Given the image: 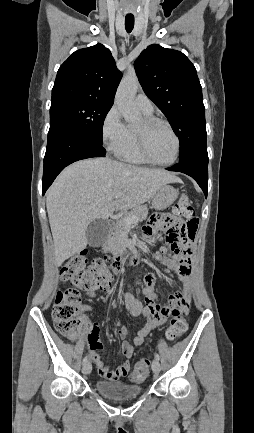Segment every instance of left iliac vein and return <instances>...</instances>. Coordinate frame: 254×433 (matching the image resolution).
Masks as SVG:
<instances>
[{"instance_id": "1", "label": "left iliac vein", "mask_w": 254, "mask_h": 433, "mask_svg": "<svg viewBox=\"0 0 254 433\" xmlns=\"http://www.w3.org/2000/svg\"><path fill=\"white\" fill-rule=\"evenodd\" d=\"M152 370L156 374H158L161 370L160 362L156 359L152 362Z\"/></svg>"}]
</instances>
